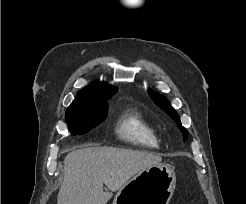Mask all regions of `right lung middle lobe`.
<instances>
[{"instance_id": "right-lung-middle-lobe-1", "label": "right lung middle lobe", "mask_w": 246, "mask_h": 204, "mask_svg": "<svg viewBox=\"0 0 246 204\" xmlns=\"http://www.w3.org/2000/svg\"><path fill=\"white\" fill-rule=\"evenodd\" d=\"M111 97H99L83 105L68 107L66 121L73 135L84 134L107 118L106 102Z\"/></svg>"}]
</instances>
